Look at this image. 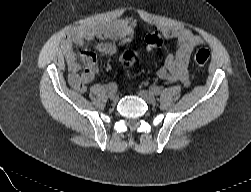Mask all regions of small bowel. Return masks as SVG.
Masks as SVG:
<instances>
[{"label": "small bowel", "mask_w": 251, "mask_h": 192, "mask_svg": "<svg viewBox=\"0 0 251 192\" xmlns=\"http://www.w3.org/2000/svg\"><path fill=\"white\" fill-rule=\"evenodd\" d=\"M133 27L132 20L123 19L96 28L76 30L66 37L62 49L69 69L68 80L76 91L80 93L86 91L87 85L96 76L98 65L96 55L92 51H84L81 59L85 68L80 72L81 66L73 47L99 39L101 42L96 49L103 54L114 55L120 45L131 39ZM161 32L167 39H176V51L166 57L164 66L157 71V76L169 83L181 82L185 86L189 85L190 57L193 49L204 43L203 38L185 27L164 26Z\"/></svg>", "instance_id": "1"}]
</instances>
